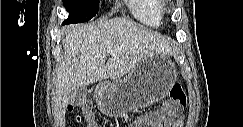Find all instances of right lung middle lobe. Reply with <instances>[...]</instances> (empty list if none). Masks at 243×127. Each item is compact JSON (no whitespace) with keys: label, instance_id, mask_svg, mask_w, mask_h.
<instances>
[{"label":"right lung middle lobe","instance_id":"right-lung-middle-lobe-1","mask_svg":"<svg viewBox=\"0 0 243 127\" xmlns=\"http://www.w3.org/2000/svg\"><path fill=\"white\" fill-rule=\"evenodd\" d=\"M63 5L69 12L63 24L89 21L99 10V0H63Z\"/></svg>","mask_w":243,"mask_h":127}]
</instances>
